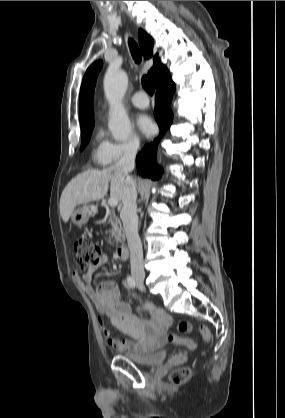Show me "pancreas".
<instances>
[{
    "mask_svg": "<svg viewBox=\"0 0 285 418\" xmlns=\"http://www.w3.org/2000/svg\"><path fill=\"white\" fill-rule=\"evenodd\" d=\"M107 223L111 225V227L107 230V233H109L111 237H114L116 243L123 242L124 236L122 228L113 213H110Z\"/></svg>",
    "mask_w": 285,
    "mask_h": 418,
    "instance_id": "1",
    "label": "pancreas"
}]
</instances>
